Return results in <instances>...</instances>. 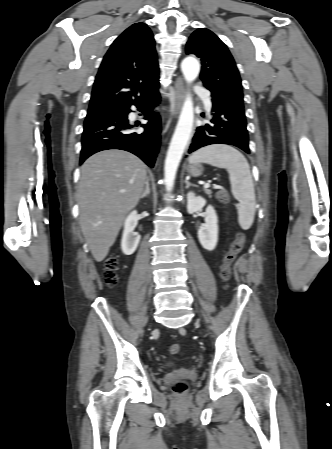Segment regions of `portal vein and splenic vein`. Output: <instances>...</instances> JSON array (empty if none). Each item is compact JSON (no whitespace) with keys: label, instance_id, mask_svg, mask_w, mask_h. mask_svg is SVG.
Instances as JSON below:
<instances>
[{"label":"portal vein and splenic vein","instance_id":"obj_1","mask_svg":"<svg viewBox=\"0 0 332 449\" xmlns=\"http://www.w3.org/2000/svg\"><path fill=\"white\" fill-rule=\"evenodd\" d=\"M209 187H210V184L209 183H205L204 188L206 189V188H209Z\"/></svg>","mask_w":332,"mask_h":449}]
</instances>
